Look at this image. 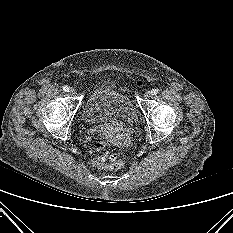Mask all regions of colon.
Wrapping results in <instances>:
<instances>
[{
  "mask_svg": "<svg viewBox=\"0 0 233 233\" xmlns=\"http://www.w3.org/2000/svg\"><path fill=\"white\" fill-rule=\"evenodd\" d=\"M141 84V82H139ZM90 153L97 166L108 170H117L123 167L124 161L114 153L108 151L106 136L98 131L95 134V140L90 147Z\"/></svg>",
  "mask_w": 233,
  "mask_h": 233,
  "instance_id": "colon-1",
  "label": "colon"
}]
</instances>
